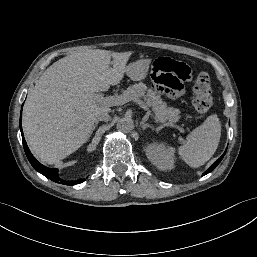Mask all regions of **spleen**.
Here are the masks:
<instances>
[{
	"label": "spleen",
	"mask_w": 257,
	"mask_h": 257,
	"mask_svg": "<svg viewBox=\"0 0 257 257\" xmlns=\"http://www.w3.org/2000/svg\"><path fill=\"white\" fill-rule=\"evenodd\" d=\"M221 137V123L216 114L210 115L189 133L186 143L178 148L181 158L193 168L204 165L216 152Z\"/></svg>",
	"instance_id": "spleen-1"
}]
</instances>
